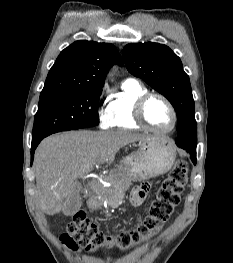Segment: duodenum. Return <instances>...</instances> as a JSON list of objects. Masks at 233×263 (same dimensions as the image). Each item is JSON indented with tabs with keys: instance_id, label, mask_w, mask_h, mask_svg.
I'll return each mask as SVG.
<instances>
[{
	"instance_id": "1",
	"label": "duodenum",
	"mask_w": 233,
	"mask_h": 263,
	"mask_svg": "<svg viewBox=\"0 0 233 263\" xmlns=\"http://www.w3.org/2000/svg\"><path fill=\"white\" fill-rule=\"evenodd\" d=\"M88 206H89V208H91V209H96V208L99 207V203H98L96 197L92 196V197H90V198L88 199Z\"/></svg>"
}]
</instances>
